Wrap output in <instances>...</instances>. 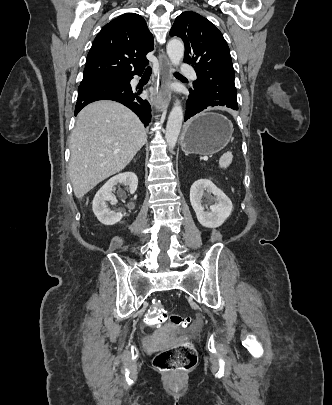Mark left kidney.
<instances>
[{
	"label": "left kidney",
	"instance_id": "obj_1",
	"mask_svg": "<svg viewBox=\"0 0 332 405\" xmlns=\"http://www.w3.org/2000/svg\"><path fill=\"white\" fill-rule=\"evenodd\" d=\"M205 190L216 196V202L210 205L209 211H205V207L202 205ZM190 202L199 223L207 228L221 226L233 209L231 200L208 179H199L193 183L190 189Z\"/></svg>",
	"mask_w": 332,
	"mask_h": 405
}]
</instances>
